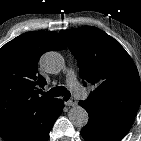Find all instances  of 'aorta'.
<instances>
[{"label": "aorta", "mask_w": 141, "mask_h": 141, "mask_svg": "<svg viewBox=\"0 0 141 141\" xmlns=\"http://www.w3.org/2000/svg\"><path fill=\"white\" fill-rule=\"evenodd\" d=\"M40 65L45 72L56 74L62 70L64 60L59 53L50 51L42 55ZM68 117L71 123L78 128L86 126L89 120L87 111L81 106L72 107L69 110Z\"/></svg>", "instance_id": "762f6f07"}]
</instances>
